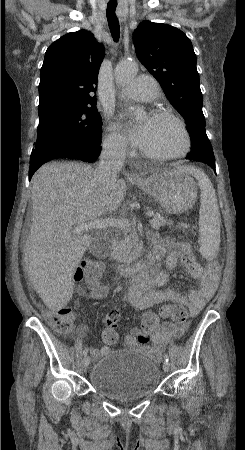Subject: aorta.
<instances>
[{"label": "aorta", "instance_id": "762f6f07", "mask_svg": "<svg viewBox=\"0 0 245 450\" xmlns=\"http://www.w3.org/2000/svg\"><path fill=\"white\" fill-rule=\"evenodd\" d=\"M138 65L135 61H122L115 69V77L121 86L127 85L137 74ZM131 111L136 119H141L145 112L140 107H131Z\"/></svg>", "mask_w": 245, "mask_h": 450}]
</instances>
